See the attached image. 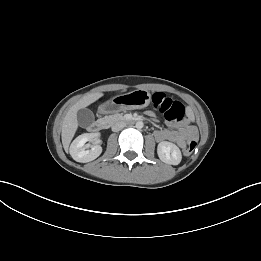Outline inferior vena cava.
<instances>
[{
    "mask_svg": "<svg viewBox=\"0 0 261 261\" xmlns=\"http://www.w3.org/2000/svg\"><path fill=\"white\" fill-rule=\"evenodd\" d=\"M125 126H126V123L123 121L116 122L112 126V131L118 132V131L122 130Z\"/></svg>",
    "mask_w": 261,
    "mask_h": 261,
    "instance_id": "inferior-vena-cava-1",
    "label": "inferior vena cava"
}]
</instances>
